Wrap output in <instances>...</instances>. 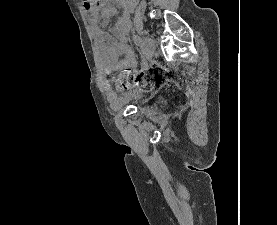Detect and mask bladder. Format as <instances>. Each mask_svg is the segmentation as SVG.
<instances>
[{"mask_svg":"<svg viewBox=\"0 0 277 225\" xmlns=\"http://www.w3.org/2000/svg\"><path fill=\"white\" fill-rule=\"evenodd\" d=\"M134 105L137 108H141L145 105L143 93L133 90L125 95V97L120 101V106Z\"/></svg>","mask_w":277,"mask_h":225,"instance_id":"obj_1","label":"bladder"}]
</instances>
